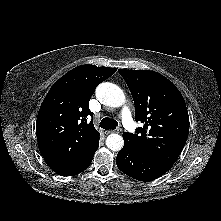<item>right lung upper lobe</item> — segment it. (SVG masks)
<instances>
[{"label": "right lung upper lobe", "instance_id": "1", "mask_svg": "<svg viewBox=\"0 0 221 221\" xmlns=\"http://www.w3.org/2000/svg\"><path fill=\"white\" fill-rule=\"evenodd\" d=\"M117 68L78 66L49 90L38 112L36 135L39 150L56 173L80 161L99 142L100 133L92 121L88 102L97 85Z\"/></svg>", "mask_w": 221, "mask_h": 221}]
</instances>
